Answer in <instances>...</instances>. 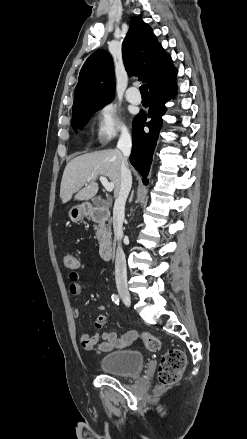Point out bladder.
Returning a JSON list of instances; mask_svg holds the SVG:
<instances>
[{"instance_id": "obj_1", "label": "bladder", "mask_w": 247, "mask_h": 439, "mask_svg": "<svg viewBox=\"0 0 247 439\" xmlns=\"http://www.w3.org/2000/svg\"><path fill=\"white\" fill-rule=\"evenodd\" d=\"M145 364L142 352L133 349L113 351L100 360V368L108 374L121 377L138 375Z\"/></svg>"}]
</instances>
